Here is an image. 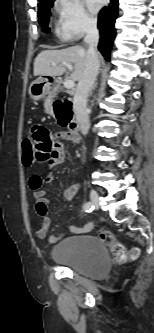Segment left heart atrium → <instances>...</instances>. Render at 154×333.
<instances>
[{
	"label": "left heart atrium",
	"mask_w": 154,
	"mask_h": 333,
	"mask_svg": "<svg viewBox=\"0 0 154 333\" xmlns=\"http://www.w3.org/2000/svg\"><path fill=\"white\" fill-rule=\"evenodd\" d=\"M86 1L89 9L92 12H97L105 2V0H86Z\"/></svg>",
	"instance_id": "1"
}]
</instances>
